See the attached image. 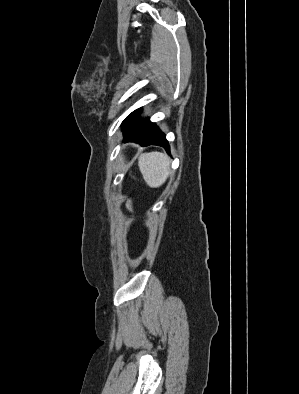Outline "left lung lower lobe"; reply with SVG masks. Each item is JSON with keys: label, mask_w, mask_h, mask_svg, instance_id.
Masks as SVG:
<instances>
[{"label": "left lung lower lobe", "mask_w": 299, "mask_h": 394, "mask_svg": "<svg viewBox=\"0 0 299 394\" xmlns=\"http://www.w3.org/2000/svg\"><path fill=\"white\" fill-rule=\"evenodd\" d=\"M140 110L133 111L122 122L124 142H136L141 146L158 145L164 147L169 153L170 148L165 135L158 129L155 123H151L148 118L133 122L135 117L140 113Z\"/></svg>", "instance_id": "obj_1"}]
</instances>
